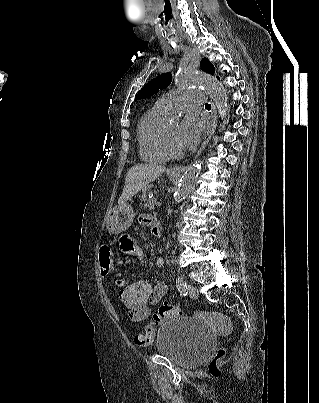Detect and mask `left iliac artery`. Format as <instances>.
I'll list each match as a JSON object with an SVG mask.
<instances>
[{
    "label": "left iliac artery",
    "mask_w": 319,
    "mask_h": 403,
    "mask_svg": "<svg viewBox=\"0 0 319 403\" xmlns=\"http://www.w3.org/2000/svg\"><path fill=\"white\" fill-rule=\"evenodd\" d=\"M176 286L181 295H183V296L187 295V284H186L183 276H181V275L177 276Z\"/></svg>",
    "instance_id": "obj_1"
}]
</instances>
